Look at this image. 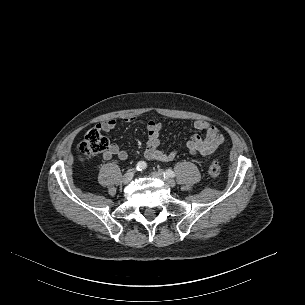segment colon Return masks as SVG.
Listing matches in <instances>:
<instances>
[{"mask_svg":"<svg viewBox=\"0 0 305 305\" xmlns=\"http://www.w3.org/2000/svg\"><path fill=\"white\" fill-rule=\"evenodd\" d=\"M78 149L81 157L89 158L93 155L105 152L108 149V141L98 129H91L85 134ZM220 171L219 162L213 160L208 170L210 177L213 180L218 179Z\"/></svg>","mask_w":305,"mask_h":305,"instance_id":"1","label":"colon"}]
</instances>
